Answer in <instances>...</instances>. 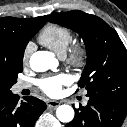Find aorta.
Returning <instances> with one entry per match:
<instances>
[{"instance_id": "762f6f07", "label": "aorta", "mask_w": 127, "mask_h": 127, "mask_svg": "<svg viewBox=\"0 0 127 127\" xmlns=\"http://www.w3.org/2000/svg\"><path fill=\"white\" fill-rule=\"evenodd\" d=\"M57 64L54 55L48 51H37L30 57V67L35 72L53 69ZM56 115L60 122L69 123L74 118V110L70 105H61L57 108Z\"/></svg>"}]
</instances>
